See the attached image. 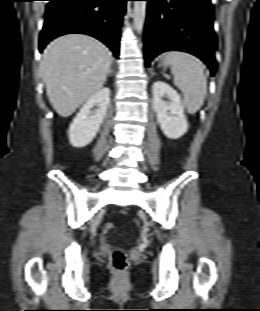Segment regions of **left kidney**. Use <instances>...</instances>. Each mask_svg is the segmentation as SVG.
Masks as SVG:
<instances>
[{
    "label": "left kidney",
    "instance_id": "obj_1",
    "mask_svg": "<svg viewBox=\"0 0 260 311\" xmlns=\"http://www.w3.org/2000/svg\"><path fill=\"white\" fill-rule=\"evenodd\" d=\"M153 109L163 133L170 139H178L188 130L184 105L180 95L168 84L157 81L152 86ZM163 98H168L170 102Z\"/></svg>",
    "mask_w": 260,
    "mask_h": 311
}]
</instances>
